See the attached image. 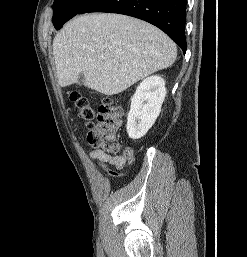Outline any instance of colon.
Here are the masks:
<instances>
[{
    "mask_svg": "<svg viewBox=\"0 0 247 257\" xmlns=\"http://www.w3.org/2000/svg\"><path fill=\"white\" fill-rule=\"evenodd\" d=\"M75 110L80 118L90 127L88 132L89 144L109 154L121 151L115 133L122 123V109L111 98H104L97 110L89 99L76 91L70 94ZM122 155L130 156L128 148L122 150Z\"/></svg>",
    "mask_w": 247,
    "mask_h": 257,
    "instance_id": "obj_1",
    "label": "colon"
}]
</instances>
